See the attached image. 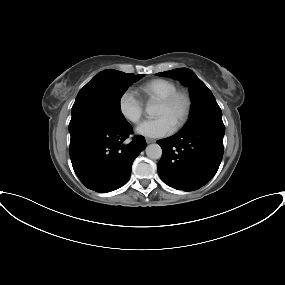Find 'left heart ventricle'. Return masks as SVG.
I'll return each instance as SVG.
<instances>
[{"mask_svg": "<svg viewBox=\"0 0 285 285\" xmlns=\"http://www.w3.org/2000/svg\"><path fill=\"white\" fill-rule=\"evenodd\" d=\"M185 110V102L183 99H178L174 104L171 106H163L158 104L155 116H164L166 117L174 126L181 118L183 112Z\"/></svg>", "mask_w": 285, "mask_h": 285, "instance_id": "left-heart-ventricle-1", "label": "left heart ventricle"}]
</instances>
